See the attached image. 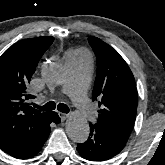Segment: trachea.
<instances>
[{"mask_svg": "<svg viewBox=\"0 0 165 165\" xmlns=\"http://www.w3.org/2000/svg\"><path fill=\"white\" fill-rule=\"evenodd\" d=\"M36 108H39L41 110L51 111V110H55L56 103L54 101H49L48 103H46L43 106L36 105ZM57 110H59L62 113H69V111H70L69 107L63 103H59L57 105Z\"/></svg>", "mask_w": 165, "mask_h": 165, "instance_id": "3493384b", "label": "trachea"}]
</instances>
